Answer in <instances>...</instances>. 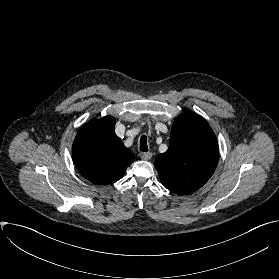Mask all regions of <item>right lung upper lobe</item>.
Returning <instances> with one entry per match:
<instances>
[{"instance_id":"cb5924a9","label":"right lung upper lobe","mask_w":279,"mask_h":279,"mask_svg":"<svg viewBox=\"0 0 279 279\" xmlns=\"http://www.w3.org/2000/svg\"><path fill=\"white\" fill-rule=\"evenodd\" d=\"M115 118L105 116L82 126L73 143V159L83 177L97 185L121 179L134 155L115 134Z\"/></svg>"}]
</instances>
